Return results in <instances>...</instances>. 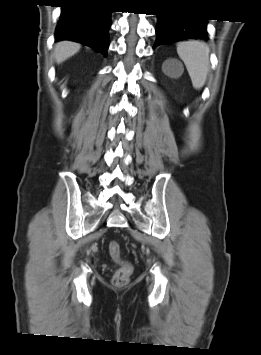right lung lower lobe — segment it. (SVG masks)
<instances>
[{
    "label": "right lung lower lobe",
    "instance_id": "1",
    "mask_svg": "<svg viewBox=\"0 0 261 355\" xmlns=\"http://www.w3.org/2000/svg\"><path fill=\"white\" fill-rule=\"evenodd\" d=\"M101 1H62L61 18L56 28L55 40H72L86 44L106 56L111 11L103 8Z\"/></svg>",
    "mask_w": 261,
    "mask_h": 355
}]
</instances>
